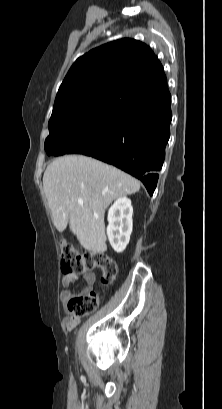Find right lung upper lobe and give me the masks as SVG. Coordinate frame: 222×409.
Returning <instances> with one entry per match:
<instances>
[{
	"mask_svg": "<svg viewBox=\"0 0 222 409\" xmlns=\"http://www.w3.org/2000/svg\"><path fill=\"white\" fill-rule=\"evenodd\" d=\"M168 92L163 67L144 43L124 38L79 57L56 95L53 112L102 102L124 104Z\"/></svg>",
	"mask_w": 222,
	"mask_h": 409,
	"instance_id": "obj_1",
	"label": "right lung upper lobe"
}]
</instances>
